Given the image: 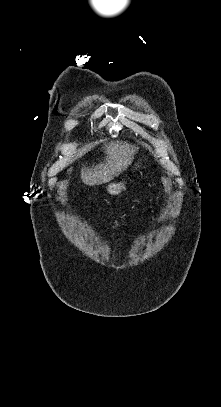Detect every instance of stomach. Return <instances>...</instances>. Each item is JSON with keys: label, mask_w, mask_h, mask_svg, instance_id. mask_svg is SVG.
Here are the masks:
<instances>
[{"label": "stomach", "mask_w": 221, "mask_h": 407, "mask_svg": "<svg viewBox=\"0 0 221 407\" xmlns=\"http://www.w3.org/2000/svg\"><path fill=\"white\" fill-rule=\"evenodd\" d=\"M139 162H141V159H139L138 163L136 164L137 167H139ZM125 185V182L111 183L107 186V191L111 195H119L126 189Z\"/></svg>", "instance_id": "stomach-1"}]
</instances>
